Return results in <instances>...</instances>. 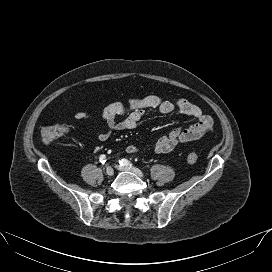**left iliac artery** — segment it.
Here are the masks:
<instances>
[{
  "label": "left iliac artery",
  "instance_id": "left-iliac-artery-1",
  "mask_svg": "<svg viewBox=\"0 0 272 272\" xmlns=\"http://www.w3.org/2000/svg\"><path fill=\"white\" fill-rule=\"evenodd\" d=\"M119 163L121 166H132V163H130V161H128L127 159H121Z\"/></svg>",
  "mask_w": 272,
  "mask_h": 272
}]
</instances>
